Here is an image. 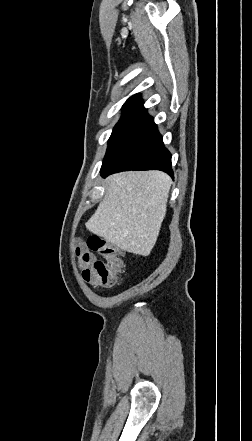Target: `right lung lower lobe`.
I'll return each mask as SVG.
<instances>
[{"instance_id":"obj_1","label":"right lung lower lobe","mask_w":252,"mask_h":441,"mask_svg":"<svg viewBox=\"0 0 252 441\" xmlns=\"http://www.w3.org/2000/svg\"><path fill=\"white\" fill-rule=\"evenodd\" d=\"M161 170L173 177L171 154L146 110L114 157L102 165L103 177L127 170Z\"/></svg>"}]
</instances>
